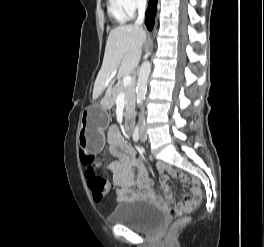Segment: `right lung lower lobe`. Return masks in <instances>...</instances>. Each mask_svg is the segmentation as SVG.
Here are the masks:
<instances>
[{
    "label": "right lung lower lobe",
    "mask_w": 264,
    "mask_h": 247,
    "mask_svg": "<svg viewBox=\"0 0 264 247\" xmlns=\"http://www.w3.org/2000/svg\"><path fill=\"white\" fill-rule=\"evenodd\" d=\"M157 0H149L148 9L146 10L145 24L149 30L154 26Z\"/></svg>",
    "instance_id": "1"
}]
</instances>
